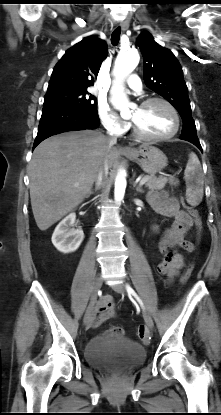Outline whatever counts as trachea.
<instances>
[{
    "instance_id": "3493384b",
    "label": "trachea",
    "mask_w": 221,
    "mask_h": 415,
    "mask_svg": "<svg viewBox=\"0 0 221 415\" xmlns=\"http://www.w3.org/2000/svg\"><path fill=\"white\" fill-rule=\"evenodd\" d=\"M120 33H121V28L120 27L116 28L113 31V33L111 35V42H112L113 45H117L118 44L119 39H120Z\"/></svg>"
}]
</instances>
